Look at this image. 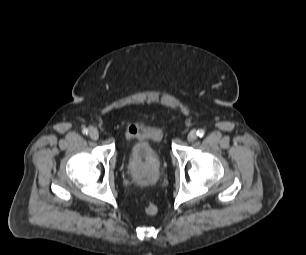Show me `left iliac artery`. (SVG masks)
<instances>
[{
  "instance_id": "obj_1",
  "label": "left iliac artery",
  "mask_w": 306,
  "mask_h": 255,
  "mask_svg": "<svg viewBox=\"0 0 306 255\" xmlns=\"http://www.w3.org/2000/svg\"><path fill=\"white\" fill-rule=\"evenodd\" d=\"M204 134H205V131H204L203 129H199V130L197 131V136H198V137H203Z\"/></svg>"
}]
</instances>
